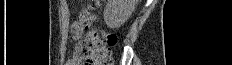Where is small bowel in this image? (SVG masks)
Wrapping results in <instances>:
<instances>
[{"label": "small bowel", "mask_w": 232, "mask_h": 65, "mask_svg": "<svg viewBox=\"0 0 232 65\" xmlns=\"http://www.w3.org/2000/svg\"><path fill=\"white\" fill-rule=\"evenodd\" d=\"M86 30V19L81 16L76 22L72 24V38L71 41L80 40L83 37L84 31ZM67 65H86L85 59L79 54L77 47L68 60Z\"/></svg>", "instance_id": "1"}]
</instances>
